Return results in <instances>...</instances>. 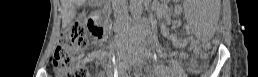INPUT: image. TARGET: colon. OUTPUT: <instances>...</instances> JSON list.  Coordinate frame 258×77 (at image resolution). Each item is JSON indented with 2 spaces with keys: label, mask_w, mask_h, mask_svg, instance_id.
<instances>
[{
  "label": "colon",
  "mask_w": 258,
  "mask_h": 77,
  "mask_svg": "<svg viewBox=\"0 0 258 77\" xmlns=\"http://www.w3.org/2000/svg\"><path fill=\"white\" fill-rule=\"evenodd\" d=\"M88 42L85 36L83 24L76 22L71 24L62 34L60 42L53 55V67L58 77H87L86 48ZM193 69L198 68L196 62H192Z\"/></svg>",
  "instance_id": "obj_1"
}]
</instances>
